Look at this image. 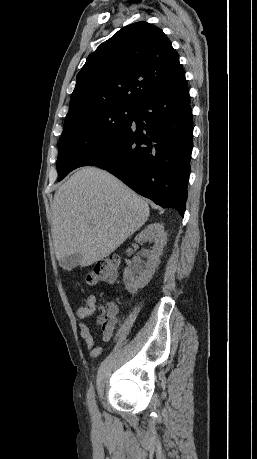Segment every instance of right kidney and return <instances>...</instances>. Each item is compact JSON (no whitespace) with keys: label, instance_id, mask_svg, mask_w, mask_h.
<instances>
[{"label":"right kidney","instance_id":"1","mask_svg":"<svg viewBox=\"0 0 257 459\" xmlns=\"http://www.w3.org/2000/svg\"><path fill=\"white\" fill-rule=\"evenodd\" d=\"M135 240L139 243L149 240L153 242V246L145 263V269H142L140 265L124 269L123 282L125 289L130 293H136L138 289L145 287L151 280L156 268L160 264V257L166 244L167 236L162 224L152 223L141 231ZM132 253L133 250L128 248L127 254L131 255Z\"/></svg>","mask_w":257,"mask_h":459}]
</instances>
